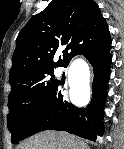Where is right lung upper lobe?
<instances>
[{
    "label": "right lung upper lobe",
    "instance_id": "obj_1",
    "mask_svg": "<svg viewBox=\"0 0 124 149\" xmlns=\"http://www.w3.org/2000/svg\"><path fill=\"white\" fill-rule=\"evenodd\" d=\"M110 38L108 26L94 0H52L20 31L12 56L9 83L12 89L33 75L67 67ZM62 54L57 62L54 57Z\"/></svg>",
    "mask_w": 124,
    "mask_h": 149
}]
</instances>
